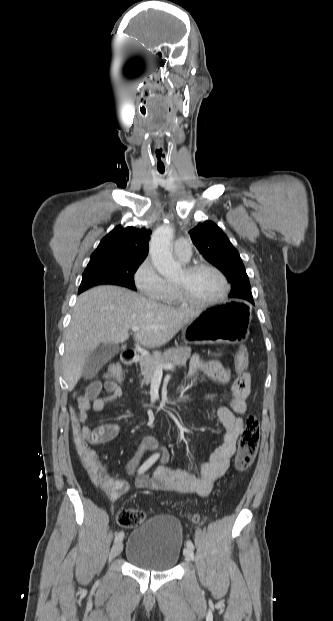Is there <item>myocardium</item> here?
Wrapping results in <instances>:
<instances>
[{
    "instance_id": "f54148a6",
    "label": "myocardium",
    "mask_w": 333,
    "mask_h": 621,
    "mask_svg": "<svg viewBox=\"0 0 333 621\" xmlns=\"http://www.w3.org/2000/svg\"><path fill=\"white\" fill-rule=\"evenodd\" d=\"M185 272L188 274H193L197 271L200 270H210L212 272H214L217 276H219V278L221 279L222 283H223V290L222 292L215 298L213 299H207V300H199V299H195L193 297H191L188 292L186 291V289L179 284H173L174 290L178 296V298L189 305H197V306H206V305H213V304H217L222 302L223 300H225L227 298V296L229 295L231 286L230 283L226 277V275L215 265L210 264V263H206V262H199V263H194L191 265H188L184 268Z\"/></svg>"
}]
</instances>
